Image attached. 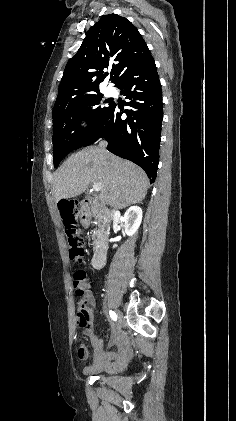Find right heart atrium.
<instances>
[{
  "label": "right heart atrium",
  "instance_id": "obj_1",
  "mask_svg": "<svg viewBox=\"0 0 236 421\" xmlns=\"http://www.w3.org/2000/svg\"><path fill=\"white\" fill-rule=\"evenodd\" d=\"M86 125H87V120H86L85 118H83V119L80 121V126H81L82 128H84V127H86Z\"/></svg>",
  "mask_w": 236,
  "mask_h": 421
}]
</instances>
